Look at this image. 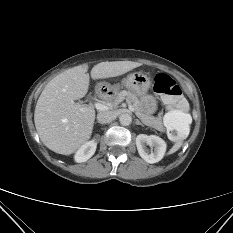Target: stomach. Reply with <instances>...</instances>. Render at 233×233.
I'll use <instances>...</instances> for the list:
<instances>
[{
    "label": "stomach",
    "mask_w": 233,
    "mask_h": 233,
    "mask_svg": "<svg viewBox=\"0 0 233 233\" xmlns=\"http://www.w3.org/2000/svg\"><path fill=\"white\" fill-rule=\"evenodd\" d=\"M151 86L150 78L143 72H134L127 75L121 81V84L110 85L108 83H99V89L103 87L107 91H118L121 87L133 91L139 97L140 108L146 115H151L157 110V99L154 95L148 94Z\"/></svg>",
    "instance_id": "0dacf381"
}]
</instances>
